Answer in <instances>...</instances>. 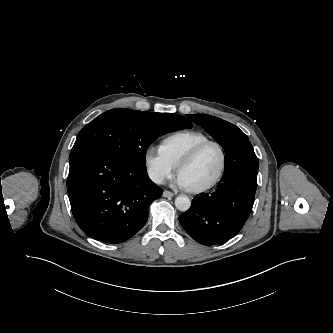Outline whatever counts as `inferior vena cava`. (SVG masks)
Here are the masks:
<instances>
[{"label": "inferior vena cava", "instance_id": "1", "mask_svg": "<svg viewBox=\"0 0 333 333\" xmlns=\"http://www.w3.org/2000/svg\"><path fill=\"white\" fill-rule=\"evenodd\" d=\"M150 177H151L152 181L157 184L163 183L164 178L158 174H150Z\"/></svg>", "mask_w": 333, "mask_h": 333}]
</instances>
